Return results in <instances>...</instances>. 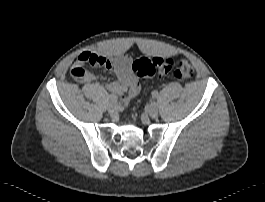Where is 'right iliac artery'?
<instances>
[{
  "label": "right iliac artery",
  "instance_id": "right-iliac-artery-1",
  "mask_svg": "<svg viewBox=\"0 0 265 202\" xmlns=\"http://www.w3.org/2000/svg\"><path fill=\"white\" fill-rule=\"evenodd\" d=\"M108 101H109V105H110L111 103H114V102L117 101V97L114 96V95H110V96L108 97Z\"/></svg>",
  "mask_w": 265,
  "mask_h": 202
}]
</instances>
